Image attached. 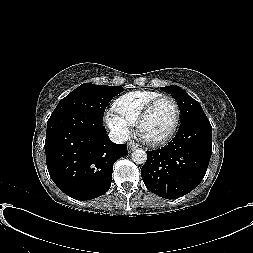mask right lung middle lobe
<instances>
[{
  "mask_svg": "<svg viewBox=\"0 0 253 253\" xmlns=\"http://www.w3.org/2000/svg\"><path fill=\"white\" fill-rule=\"evenodd\" d=\"M121 86H100L84 83L64 97L54 109L52 115L77 111L89 116L103 120L104 111L110 100L121 93Z\"/></svg>",
  "mask_w": 253,
  "mask_h": 253,
  "instance_id": "right-lung-middle-lobe-1",
  "label": "right lung middle lobe"
}]
</instances>
